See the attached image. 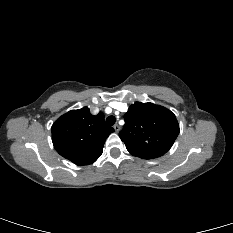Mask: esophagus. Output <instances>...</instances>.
<instances>
[{
	"label": "esophagus",
	"mask_w": 233,
	"mask_h": 233,
	"mask_svg": "<svg viewBox=\"0 0 233 233\" xmlns=\"http://www.w3.org/2000/svg\"><path fill=\"white\" fill-rule=\"evenodd\" d=\"M113 128H114L115 132H119L120 131V126L118 124H115L113 126Z\"/></svg>",
	"instance_id": "34e87169"
}]
</instances>
